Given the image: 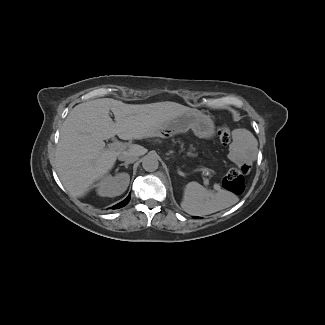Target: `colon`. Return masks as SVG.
Listing matches in <instances>:
<instances>
[{"label": "colon", "mask_w": 325, "mask_h": 325, "mask_svg": "<svg viewBox=\"0 0 325 325\" xmlns=\"http://www.w3.org/2000/svg\"><path fill=\"white\" fill-rule=\"evenodd\" d=\"M219 139L223 145H228L231 141L230 130L227 126L222 125L217 130ZM247 166H241L231 169L222 180V187L234 194H242L245 189L244 175L247 173Z\"/></svg>", "instance_id": "5ec220e1"}]
</instances>
